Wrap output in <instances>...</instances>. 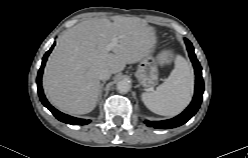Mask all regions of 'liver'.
<instances>
[{
	"label": "liver",
	"instance_id": "liver-1",
	"mask_svg": "<svg viewBox=\"0 0 248 158\" xmlns=\"http://www.w3.org/2000/svg\"><path fill=\"white\" fill-rule=\"evenodd\" d=\"M113 37L118 46L107 51ZM153 27L138 17L94 18L78 23L57 41L43 75L44 92L59 110L91 112L99 99L102 69L120 73L127 64L149 56L155 47Z\"/></svg>",
	"mask_w": 248,
	"mask_h": 158
}]
</instances>
